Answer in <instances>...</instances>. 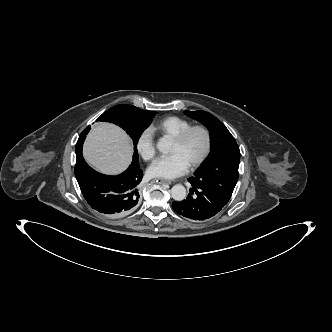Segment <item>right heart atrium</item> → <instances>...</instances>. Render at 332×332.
I'll return each mask as SVG.
<instances>
[{
  "label": "right heart atrium",
  "instance_id": "d8ad5b80",
  "mask_svg": "<svg viewBox=\"0 0 332 332\" xmlns=\"http://www.w3.org/2000/svg\"><path fill=\"white\" fill-rule=\"evenodd\" d=\"M136 149L145 161H150L154 157L155 143L153 132L150 128L143 130L139 134L136 141Z\"/></svg>",
  "mask_w": 332,
  "mask_h": 332
}]
</instances>
